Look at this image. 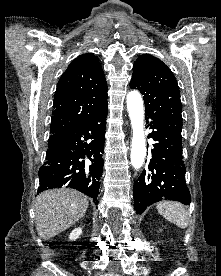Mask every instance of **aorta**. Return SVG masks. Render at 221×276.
<instances>
[{"label":"aorta","instance_id":"aorta-1","mask_svg":"<svg viewBox=\"0 0 221 276\" xmlns=\"http://www.w3.org/2000/svg\"><path fill=\"white\" fill-rule=\"evenodd\" d=\"M127 109L133 129L131 164L134 169H139L142 167L146 156V144L144 135L143 101L138 91H131L128 93Z\"/></svg>","mask_w":221,"mask_h":276}]
</instances>
